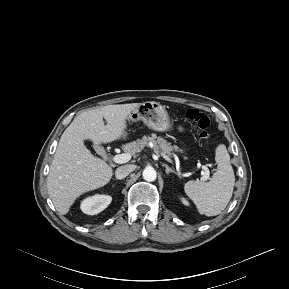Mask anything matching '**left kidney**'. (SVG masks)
Instances as JSON below:
<instances>
[{
  "instance_id": "5707ae66",
  "label": "left kidney",
  "mask_w": 289,
  "mask_h": 289,
  "mask_svg": "<svg viewBox=\"0 0 289 289\" xmlns=\"http://www.w3.org/2000/svg\"><path fill=\"white\" fill-rule=\"evenodd\" d=\"M181 201L184 205H189V202L185 198H181Z\"/></svg>"
}]
</instances>
